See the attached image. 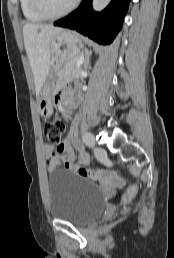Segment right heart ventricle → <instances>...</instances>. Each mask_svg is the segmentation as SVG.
Here are the masks:
<instances>
[{
	"label": "right heart ventricle",
	"mask_w": 174,
	"mask_h": 258,
	"mask_svg": "<svg viewBox=\"0 0 174 258\" xmlns=\"http://www.w3.org/2000/svg\"><path fill=\"white\" fill-rule=\"evenodd\" d=\"M20 7L25 19L29 22L38 23L46 20L45 17L40 15L33 7L32 0H19Z\"/></svg>",
	"instance_id": "right-heart-ventricle-1"
}]
</instances>
